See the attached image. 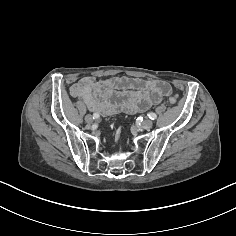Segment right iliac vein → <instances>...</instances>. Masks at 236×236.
I'll list each match as a JSON object with an SVG mask.
<instances>
[{
	"mask_svg": "<svg viewBox=\"0 0 236 236\" xmlns=\"http://www.w3.org/2000/svg\"><path fill=\"white\" fill-rule=\"evenodd\" d=\"M85 121H86L87 123H92V122H93V117H92V115L87 114V115L85 116Z\"/></svg>",
	"mask_w": 236,
	"mask_h": 236,
	"instance_id": "63e3f726",
	"label": "right iliac vein"
}]
</instances>
